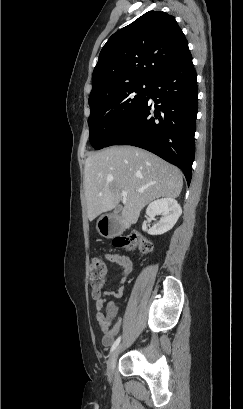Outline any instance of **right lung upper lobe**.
<instances>
[{
    "label": "right lung upper lobe",
    "mask_w": 243,
    "mask_h": 409,
    "mask_svg": "<svg viewBox=\"0 0 243 409\" xmlns=\"http://www.w3.org/2000/svg\"><path fill=\"white\" fill-rule=\"evenodd\" d=\"M188 48L175 18L149 11L114 33L92 75L89 104L131 83L152 84Z\"/></svg>",
    "instance_id": "cb5924a9"
}]
</instances>
